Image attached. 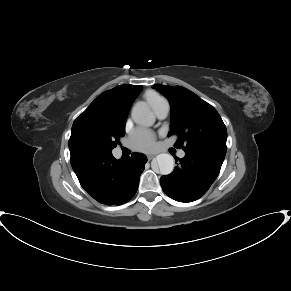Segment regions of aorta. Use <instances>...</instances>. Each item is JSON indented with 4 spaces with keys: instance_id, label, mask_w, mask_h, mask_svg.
Returning <instances> with one entry per match:
<instances>
[{
    "instance_id": "762f6f07",
    "label": "aorta",
    "mask_w": 291,
    "mask_h": 291,
    "mask_svg": "<svg viewBox=\"0 0 291 291\" xmlns=\"http://www.w3.org/2000/svg\"><path fill=\"white\" fill-rule=\"evenodd\" d=\"M131 116L136 124L143 126H152L155 122V116L152 111L147 105L142 103L133 107ZM155 161L162 175H168L174 169V159L170 154H159L157 155Z\"/></svg>"
}]
</instances>
